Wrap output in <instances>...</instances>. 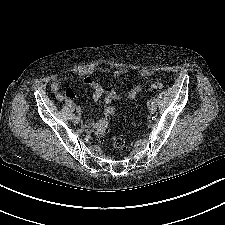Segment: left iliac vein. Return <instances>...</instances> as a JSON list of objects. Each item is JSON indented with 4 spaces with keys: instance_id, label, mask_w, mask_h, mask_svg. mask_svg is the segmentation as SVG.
Segmentation results:
<instances>
[{
    "instance_id": "obj_1",
    "label": "left iliac vein",
    "mask_w": 225,
    "mask_h": 225,
    "mask_svg": "<svg viewBox=\"0 0 225 225\" xmlns=\"http://www.w3.org/2000/svg\"><path fill=\"white\" fill-rule=\"evenodd\" d=\"M156 108H157L156 104H155V103H152V104L150 105V107H149L150 113H152V114L155 113Z\"/></svg>"
}]
</instances>
